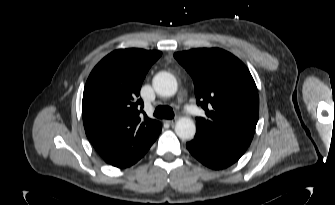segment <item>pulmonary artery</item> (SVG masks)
<instances>
[{"mask_svg": "<svg viewBox=\"0 0 335 205\" xmlns=\"http://www.w3.org/2000/svg\"><path fill=\"white\" fill-rule=\"evenodd\" d=\"M186 109L192 115H196L198 112L197 108L192 105H186Z\"/></svg>", "mask_w": 335, "mask_h": 205, "instance_id": "e3ab8cb5", "label": "pulmonary artery"}]
</instances>
